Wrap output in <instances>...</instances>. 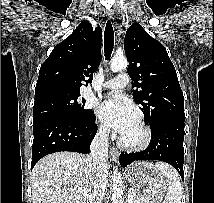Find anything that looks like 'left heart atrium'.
Instances as JSON below:
<instances>
[{
    "instance_id": "1",
    "label": "left heart atrium",
    "mask_w": 214,
    "mask_h": 203,
    "mask_svg": "<svg viewBox=\"0 0 214 203\" xmlns=\"http://www.w3.org/2000/svg\"><path fill=\"white\" fill-rule=\"evenodd\" d=\"M101 120L125 134L138 124L139 116L132 103L120 93H113L97 107Z\"/></svg>"
}]
</instances>
